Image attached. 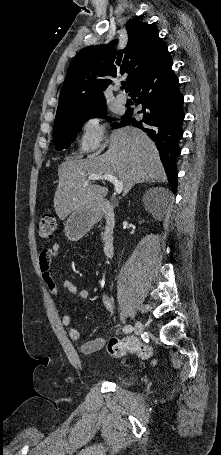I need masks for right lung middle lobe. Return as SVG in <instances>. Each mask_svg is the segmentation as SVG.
<instances>
[{
	"label": "right lung middle lobe",
	"mask_w": 221,
	"mask_h": 455,
	"mask_svg": "<svg viewBox=\"0 0 221 455\" xmlns=\"http://www.w3.org/2000/svg\"><path fill=\"white\" fill-rule=\"evenodd\" d=\"M106 103L96 105L86 111L61 118L54 122L53 139L56 148L60 151L67 149L81 130L83 123L90 118L105 115ZM118 125H114L117 127Z\"/></svg>",
	"instance_id": "dd1d6c3e"
}]
</instances>
